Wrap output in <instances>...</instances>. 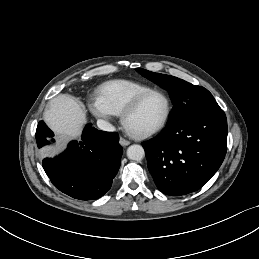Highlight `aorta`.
Masks as SVG:
<instances>
[{"instance_id": "obj_1", "label": "aorta", "mask_w": 259, "mask_h": 259, "mask_svg": "<svg viewBox=\"0 0 259 259\" xmlns=\"http://www.w3.org/2000/svg\"><path fill=\"white\" fill-rule=\"evenodd\" d=\"M145 156L144 148L141 145L134 144L128 147L127 157L130 160L141 161Z\"/></svg>"}]
</instances>
